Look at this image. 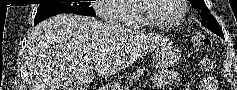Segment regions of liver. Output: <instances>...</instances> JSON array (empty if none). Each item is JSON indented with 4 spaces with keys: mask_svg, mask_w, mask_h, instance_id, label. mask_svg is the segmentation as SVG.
<instances>
[{
    "mask_svg": "<svg viewBox=\"0 0 237 90\" xmlns=\"http://www.w3.org/2000/svg\"><path fill=\"white\" fill-rule=\"evenodd\" d=\"M156 42L161 38L116 22L76 14L53 16L28 38L29 90H85L94 74L106 78L129 68Z\"/></svg>",
    "mask_w": 237,
    "mask_h": 90,
    "instance_id": "1",
    "label": "liver"
}]
</instances>
